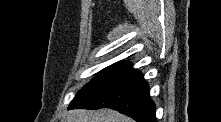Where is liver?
<instances>
[{
    "label": "liver",
    "instance_id": "6515ba94",
    "mask_svg": "<svg viewBox=\"0 0 221 122\" xmlns=\"http://www.w3.org/2000/svg\"><path fill=\"white\" fill-rule=\"evenodd\" d=\"M65 122H133V120L123 114L111 109L101 110H71Z\"/></svg>",
    "mask_w": 221,
    "mask_h": 122
}]
</instances>
